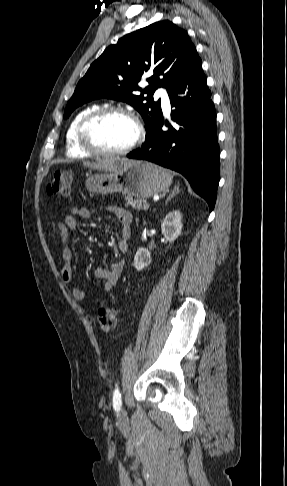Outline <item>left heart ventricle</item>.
<instances>
[{
  "instance_id": "left-heart-ventricle-1",
  "label": "left heart ventricle",
  "mask_w": 287,
  "mask_h": 486,
  "mask_svg": "<svg viewBox=\"0 0 287 486\" xmlns=\"http://www.w3.org/2000/svg\"><path fill=\"white\" fill-rule=\"evenodd\" d=\"M134 136V125L127 117L120 114H111L99 119L89 130L92 144L105 151H114L127 146Z\"/></svg>"
}]
</instances>
